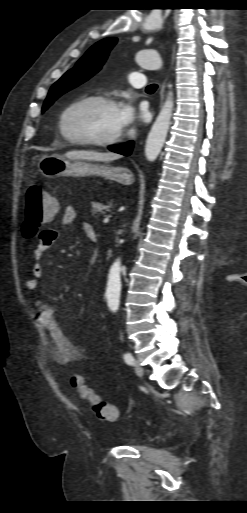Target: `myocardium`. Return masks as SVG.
Segmentation results:
<instances>
[{
    "mask_svg": "<svg viewBox=\"0 0 247 513\" xmlns=\"http://www.w3.org/2000/svg\"><path fill=\"white\" fill-rule=\"evenodd\" d=\"M87 102H99L103 104L113 105L116 106V101L109 96L102 95V94H90L83 97H80L70 103H68L60 112L57 120V127L60 132V134L69 142L75 143V144H82V145H91V146H109L113 145L121 140L123 137V130H120L116 134L102 138V139H92V138H86V137H77L70 135L66 129H65V120L68 115V113L77 105L87 103Z\"/></svg>",
    "mask_w": 247,
    "mask_h": 513,
    "instance_id": "f54148a6",
    "label": "myocardium"
}]
</instances>
